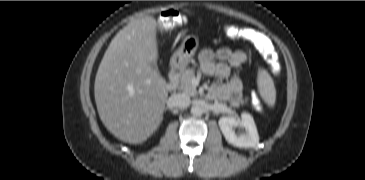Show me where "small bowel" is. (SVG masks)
<instances>
[{
	"instance_id": "1",
	"label": "small bowel",
	"mask_w": 365,
	"mask_h": 180,
	"mask_svg": "<svg viewBox=\"0 0 365 180\" xmlns=\"http://www.w3.org/2000/svg\"><path fill=\"white\" fill-rule=\"evenodd\" d=\"M248 61L247 53L230 48H222L216 53L204 49L198 55L201 70L213 79L212 95L231 101L239 99L242 93V83L232 71Z\"/></svg>"
}]
</instances>
